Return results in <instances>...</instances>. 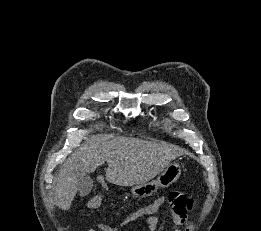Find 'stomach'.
Here are the masks:
<instances>
[{"label":"stomach","mask_w":261,"mask_h":231,"mask_svg":"<svg viewBox=\"0 0 261 231\" xmlns=\"http://www.w3.org/2000/svg\"><path fill=\"white\" fill-rule=\"evenodd\" d=\"M182 171V166L178 162L170 163L156 180L143 184H136L132 187L131 193L133 197L143 198L153 195L159 187H168L176 182Z\"/></svg>","instance_id":"1"}]
</instances>
